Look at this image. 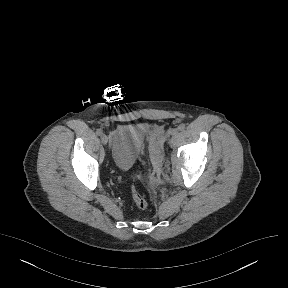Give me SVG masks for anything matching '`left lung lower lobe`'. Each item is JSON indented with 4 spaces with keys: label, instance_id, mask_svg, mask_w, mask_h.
<instances>
[{
    "label": "left lung lower lobe",
    "instance_id": "left-lung-lower-lobe-1",
    "mask_svg": "<svg viewBox=\"0 0 288 288\" xmlns=\"http://www.w3.org/2000/svg\"><path fill=\"white\" fill-rule=\"evenodd\" d=\"M266 209H267L266 200L263 197H260L257 203L254 205V207L247 215V217L249 218L255 213L258 214L256 220L253 223H251V226L249 227L251 231L259 232L262 230L266 222Z\"/></svg>",
    "mask_w": 288,
    "mask_h": 288
}]
</instances>
